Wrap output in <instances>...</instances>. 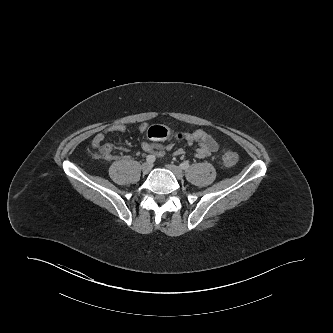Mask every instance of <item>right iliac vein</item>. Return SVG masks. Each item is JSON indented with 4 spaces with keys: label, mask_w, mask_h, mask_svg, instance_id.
<instances>
[{
    "label": "right iliac vein",
    "mask_w": 333,
    "mask_h": 333,
    "mask_svg": "<svg viewBox=\"0 0 333 333\" xmlns=\"http://www.w3.org/2000/svg\"><path fill=\"white\" fill-rule=\"evenodd\" d=\"M152 167H153L152 163L145 162L142 164L141 170L143 173L147 174L151 171Z\"/></svg>",
    "instance_id": "obj_1"
}]
</instances>
